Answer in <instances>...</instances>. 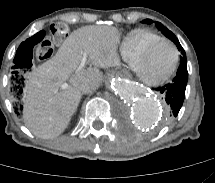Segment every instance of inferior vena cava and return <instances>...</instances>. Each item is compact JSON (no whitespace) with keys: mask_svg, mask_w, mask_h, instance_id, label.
I'll return each instance as SVG.
<instances>
[{"mask_svg":"<svg viewBox=\"0 0 215 183\" xmlns=\"http://www.w3.org/2000/svg\"><path fill=\"white\" fill-rule=\"evenodd\" d=\"M100 82L94 81H84L80 84L79 90L82 94H88L96 90L99 86Z\"/></svg>","mask_w":215,"mask_h":183,"instance_id":"obj_1","label":"inferior vena cava"}]
</instances>
